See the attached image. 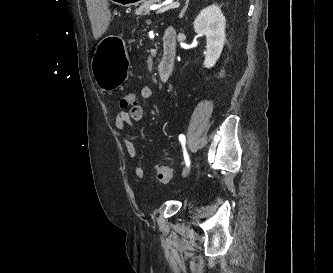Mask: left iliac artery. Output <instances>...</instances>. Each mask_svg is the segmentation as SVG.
Listing matches in <instances>:
<instances>
[{
    "instance_id": "1",
    "label": "left iliac artery",
    "mask_w": 333,
    "mask_h": 273,
    "mask_svg": "<svg viewBox=\"0 0 333 273\" xmlns=\"http://www.w3.org/2000/svg\"><path fill=\"white\" fill-rule=\"evenodd\" d=\"M179 141L181 142L182 144V147H183V155H184V160H185V164L186 166L188 167L190 165V159H189V155L186 151V148H185V142H186V138L183 134H180L179 135Z\"/></svg>"
}]
</instances>
